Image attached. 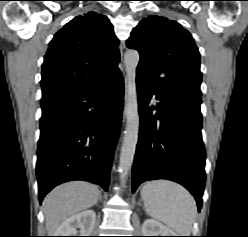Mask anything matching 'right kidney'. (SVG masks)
Wrapping results in <instances>:
<instances>
[{"label":"right kidney","mask_w":248,"mask_h":237,"mask_svg":"<svg viewBox=\"0 0 248 237\" xmlns=\"http://www.w3.org/2000/svg\"><path fill=\"white\" fill-rule=\"evenodd\" d=\"M96 220L93 210H85L67 218L56 230L55 236H77V228L80 236H90Z\"/></svg>","instance_id":"obj_1"}]
</instances>
